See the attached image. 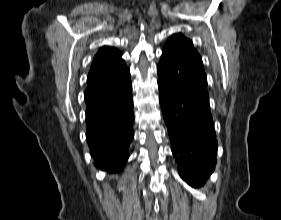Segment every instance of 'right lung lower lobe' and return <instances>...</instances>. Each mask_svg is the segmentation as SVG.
<instances>
[{
  "mask_svg": "<svg viewBox=\"0 0 281 220\" xmlns=\"http://www.w3.org/2000/svg\"><path fill=\"white\" fill-rule=\"evenodd\" d=\"M86 137L97 168L121 171L133 139V100L130 78L106 90L85 93Z\"/></svg>",
  "mask_w": 281,
  "mask_h": 220,
  "instance_id": "obj_1",
  "label": "right lung lower lobe"
}]
</instances>
